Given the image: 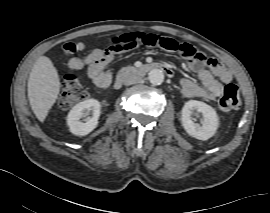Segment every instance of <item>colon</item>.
Returning <instances> with one entry per match:
<instances>
[{
  "label": "colon",
  "instance_id": "obj_1",
  "mask_svg": "<svg viewBox=\"0 0 270 213\" xmlns=\"http://www.w3.org/2000/svg\"><path fill=\"white\" fill-rule=\"evenodd\" d=\"M148 46L161 51H172L180 49L185 55L192 57L194 60L205 63L207 62L206 55L201 51H194L189 43H178L176 40L145 33H131L116 37L110 44L108 53H120L122 51L131 50L139 46ZM220 75L224 74L221 69L218 72ZM86 88L74 77L66 78L61 86L59 96V105L62 107H70L79 102L86 100ZM239 89L233 83H228L225 86L219 105L223 111H230L238 109L240 106Z\"/></svg>",
  "mask_w": 270,
  "mask_h": 213
}]
</instances>
